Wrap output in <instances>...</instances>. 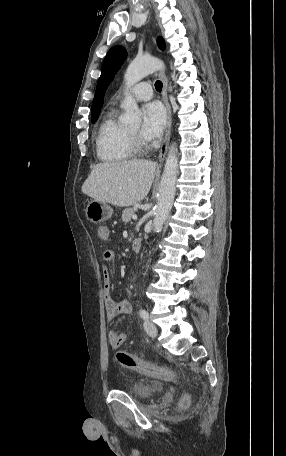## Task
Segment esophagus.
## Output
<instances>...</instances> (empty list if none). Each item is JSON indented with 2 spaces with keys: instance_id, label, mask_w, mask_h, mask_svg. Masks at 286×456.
I'll list each match as a JSON object with an SVG mask.
<instances>
[{
  "instance_id": "obj_1",
  "label": "esophagus",
  "mask_w": 286,
  "mask_h": 456,
  "mask_svg": "<svg viewBox=\"0 0 286 456\" xmlns=\"http://www.w3.org/2000/svg\"><path fill=\"white\" fill-rule=\"evenodd\" d=\"M159 77L163 83V89H162V99L164 101L166 110H167V124H166V130H165V137L163 140V143L161 145L160 151H159V160L162 162L165 158L168 144L170 141V133H171V107L168 101L167 97V78L164 73V71L159 72Z\"/></svg>"
}]
</instances>
